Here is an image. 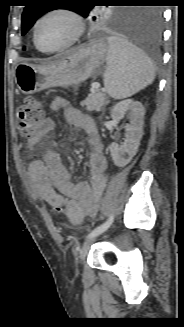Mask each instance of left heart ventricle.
Segmentation results:
<instances>
[{
	"label": "left heart ventricle",
	"mask_w": 184,
	"mask_h": 327,
	"mask_svg": "<svg viewBox=\"0 0 184 327\" xmlns=\"http://www.w3.org/2000/svg\"><path fill=\"white\" fill-rule=\"evenodd\" d=\"M74 30V24L67 16L51 15L44 19L38 27V42L44 48H56L68 42L72 38Z\"/></svg>",
	"instance_id": "b2bd125f"
}]
</instances>
